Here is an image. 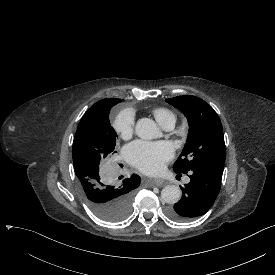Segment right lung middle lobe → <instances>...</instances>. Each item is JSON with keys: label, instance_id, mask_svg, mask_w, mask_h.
<instances>
[{"label": "right lung middle lobe", "instance_id": "dd1d6c3e", "mask_svg": "<svg viewBox=\"0 0 275 275\" xmlns=\"http://www.w3.org/2000/svg\"><path fill=\"white\" fill-rule=\"evenodd\" d=\"M112 107L84 114L73 141V164L80 193L91 210L102 219L119 221L129 214L141 178L130 177L123 166L117 133L109 121Z\"/></svg>", "mask_w": 275, "mask_h": 275}]
</instances>
